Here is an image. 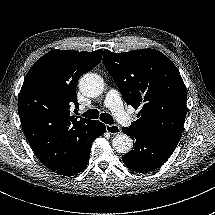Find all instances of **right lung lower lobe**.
Returning <instances> with one entry per match:
<instances>
[{
  "label": "right lung lower lobe",
  "instance_id": "obj_1",
  "mask_svg": "<svg viewBox=\"0 0 215 215\" xmlns=\"http://www.w3.org/2000/svg\"><path fill=\"white\" fill-rule=\"evenodd\" d=\"M106 127L100 121H91L72 133L68 139L65 159L52 171L59 175L73 176L81 172L89 162L93 141L104 134Z\"/></svg>",
  "mask_w": 215,
  "mask_h": 215
}]
</instances>
